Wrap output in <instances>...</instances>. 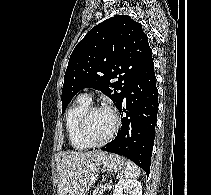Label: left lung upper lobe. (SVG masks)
I'll return each mask as SVG.
<instances>
[{"label":"left lung upper lobe","instance_id":"left-lung-upper-lobe-1","mask_svg":"<svg viewBox=\"0 0 211 195\" xmlns=\"http://www.w3.org/2000/svg\"><path fill=\"white\" fill-rule=\"evenodd\" d=\"M151 59L147 35L130 16L117 15L96 25L70 56L62 89V113L84 88L100 90L118 108L134 78Z\"/></svg>","mask_w":211,"mask_h":195}]
</instances>
